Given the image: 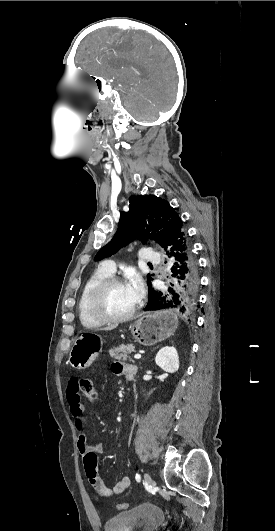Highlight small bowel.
Here are the masks:
<instances>
[{
	"instance_id": "1",
	"label": "small bowel",
	"mask_w": 275,
	"mask_h": 531,
	"mask_svg": "<svg viewBox=\"0 0 275 531\" xmlns=\"http://www.w3.org/2000/svg\"><path fill=\"white\" fill-rule=\"evenodd\" d=\"M112 368L115 373L123 374L126 377L128 374H136V367L131 364L116 361L113 363ZM67 379L69 383H65L64 392L69 404L73 424L78 432V451L83 458L86 476L101 496L111 497L120 494L129 487L130 478L123 476L112 488H109L104 480L98 475L97 455L104 451V446L102 443H87L84 407L81 404L78 395L81 392V375L79 373H70ZM123 463H127V458L123 459Z\"/></svg>"
}]
</instances>
